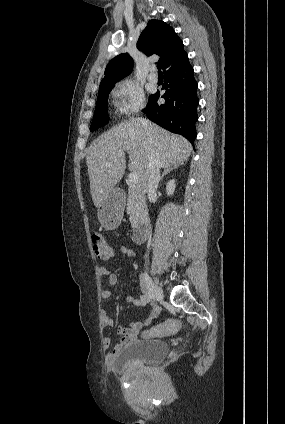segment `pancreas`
<instances>
[{
  "mask_svg": "<svg viewBox=\"0 0 285 424\" xmlns=\"http://www.w3.org/2000/svg\"><path fill=\"white\" fill-rule=\"evenodd\" d=\"M127 213L132 227H136L147 213L145 198L136 187L131 186L128 189Z\"/></svg>",
  "mask_w": 285,
  "mask_h": 424,
  "instance_id": "cf45deb5",
  "label": "pancreas"
}]
</instances>
